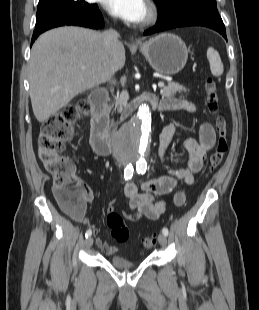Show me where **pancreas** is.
<instances>
[{"instance_id":"pancreas-1","label":"pancreas","mask_w":259,"mask_h":310,"mask_svg":"<svg viewBox=\"0 0 259 310\" xmlns=\"http://www.w3.org/2000/svg\"><path fill=\"white\" fill-rule=\"evenodd\" d=\"M186 93L187 89L183 87L182 85H179L178 83L174 82H169L166 87L161 89L160 93L164 97H174L178 93L181 94L180 97H182V93ZM129 99L127 91H123L120 95V97L117 99L115 103V107L119 109L120 112L124 113V116L126 115L125 113V108L127 106V100Z\"/></svg>"}]
</instances>
